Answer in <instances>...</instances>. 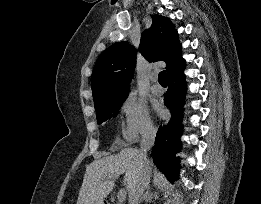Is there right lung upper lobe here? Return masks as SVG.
<instances>
[{
    "label": "right lung upper lobe",
    "instance_id": "right-lung-upper-lobe-1",
    "mask_svg": "<svg viewBox=\"0 0 261 204\" xmlns=\"http://www.w3.org/2000/svg\"><path fill=\"white\" fill-rule=\"evenodd\" d=\"M139 51L149 62L165 61L167 76L185 64L177 31L162 15H155L142 33ZM135 64V48L127 41L111 45L99 56L91 80L95 107L127 96Z\"/></svg>",
    "mask_w": 261,
    "mask_h": 204
}]
</instances>
